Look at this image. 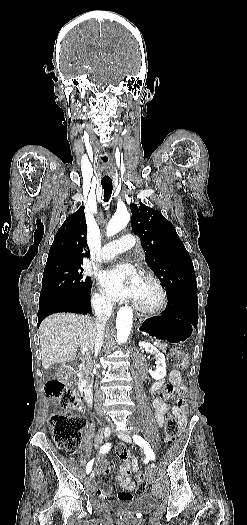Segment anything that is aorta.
<instances>
[{"label":"aorta","mask_w":247,"mask_h":525,"mask_svg":"<svg viewBox=\"0 0 247 525\" xmlns=\"http://www.w3.org/2000/svg\"><path fill=\"white\" fill-rule=\"evenodd\" d=\"M130 220V214L127 210H120L114 214L107 226V236H113L126 227ZM133 323V312L130 307H121L117 313L116 330L117 340L119 343L127 341Z\"/></svg>","instance_id":"1"}]
</instances>
